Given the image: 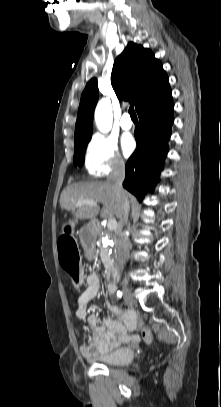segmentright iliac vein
Returning a JSON list of instances; mask_svg holds the SVG:
<instances>
[{
    "label": "right iliac vein",
    "mask_w": 221,
    "mask_h": 407,
    "mask_svg": "<svg viewBox=\"0 0 221 407\" xmlns=\"http://www.w3.org/2000/svg\"><path fill=\"white\" fill-rule=\"evenodd\" d=\"M122 291H123L125 303L129 307H133L135 304V300H134L128 286L125 283L122 284Z\"/></svg>",
    "instance_id": "63e3f726"
}]
</instances>
